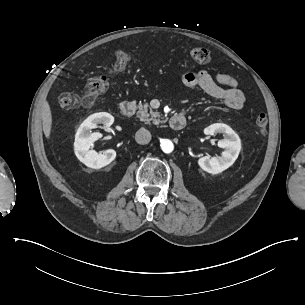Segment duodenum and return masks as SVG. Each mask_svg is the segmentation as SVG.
Returning <instances> with one entry per match:
<instances>
[{
	"instance_id": "1",
	"label": "duodenum",
	"mask_w": 305,
	"mask_h": 305,
	"mask_svg": "<svg viewBox=\"0 0 305 305\" xmlns=\"http://www.w3.org/2000/svg\"><path fill=\"white\" fill-rule=\"evenodd\" d=\"M136 111V106L133 102L124 101L120 105V113L122 116L128 118L134 115ZM170 127L174 130H180L185 126L186 118L182 113H176L170 118Z\"/></svg>"
}]
</instances>
